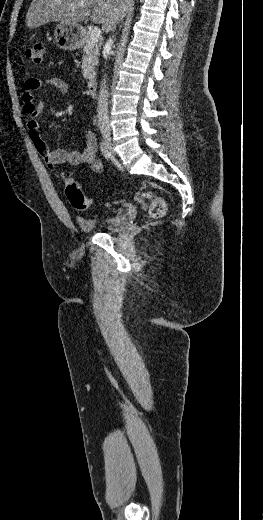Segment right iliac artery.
I'll return each mask as SVG.
<instances>
[{
    "label": "right iliac artery",
    "instance_id": "82829eb1",
    "mask_svg": "<svg viewBox=\"0 0 263 520\" xmlns=\"http://www.w3.org/2000/svg\"><path fill=\"white\" fill-rule=\"evenodd\" d=\"M100 149H101V152H102V155L106 158V159H109L110 157V152L108 151L106 145L104 142H101L100 143Z\"/></svg>",
    "mask_w": 263,
    "mask_h": 520
}]
</instances>
